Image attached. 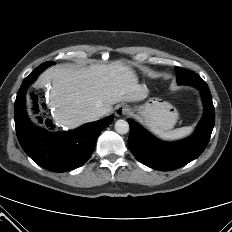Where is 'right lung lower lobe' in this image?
I'll list each match as a JSON object with an SVG mask.
<instances>
[{"instance_id":"right-lung-lower-lobe-1","label":"right lung lower lobe","mask_w":232,"mask_h":232,"mask_svg":"<svg viewBox=\"0 0 232 232\" xmlns=\"http://www.w3.org/2000/svg\"><path fill=\"white\" fill-rule=\"evenodd\" d=\"M37 74L26 77L15 101V128L23 150L41 167L65 172L82 166L91 156L99 134L112 121L108 116L65 133H51L37 128L28 118L25 109L27 87Z\"/></svg>"}]
</instances>
